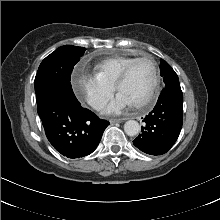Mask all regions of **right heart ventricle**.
Wrapping results in <instances>:
<instances>
[{
	"mask_svg": "<svg viewBox=\"0 0 220 220\" xmlns=\"http://www.w3.org/2000/svg\"><path fill=\"white\" fill-rule=\"evenodd\" d=\"M133 56H115L106 58L93 66L94 73L97 77L106 83L115 86L118 78L125 67L134 60Z\"/></svg>",
	"mask_w": 220,
	"mask_h": 220,
	"instance_id": "e07e8e85",
	"label": "right heart ventricle"
}]
</instances>
